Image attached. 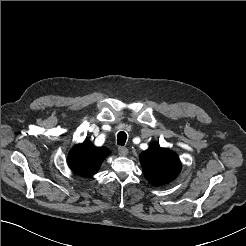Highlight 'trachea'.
<instances>
[{
  "mask_svg": "<svg viewBox=\"0 0 246 246\" xmlns=\"http://www.w3.org/2000/svg\"><path fill=\"white\" fill-rule=\"evenodd\" d=\"M127 134L123 131L119 132L117 135V144L123 146L126 142Z\"/></svg>",
  "mask_w": 246,
  "mask_h": 246,
  "instance_id": "obj_1",
  "label": "trachea"
}]
</instances>
